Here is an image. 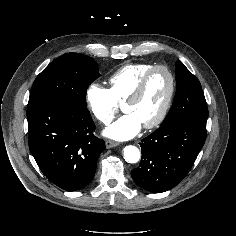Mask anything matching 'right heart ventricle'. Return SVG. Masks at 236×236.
Wrapping results in <instances>:
<instances>
[{"label": "right heart ventricle", "mask_w": 236, "mask_h": 236, "mask_svg": "<svg viewBox=\"0 0 236 236\" xmlns=\"http://www.w3.org/2000/svg\"><path fill=\"white\" fill-rule=\"evenodd\" d=\"M150 63L128 64L115 73L109 79V90L118 104H122L132 93L144 73L153 67Z\"/></svg>", "instance_id": "e07e8e85"}]
</instances>
